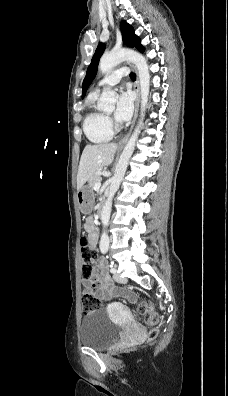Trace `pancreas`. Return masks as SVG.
<instances>
[{
    "mask_svg": "<svg viewBox=\"0 0 228 396\" xmlns=\"http://www.w3.org/2000/svg\"><path fill=\"white\" fill-rule=\"evenodd\" d=\"M101 180H102V177H101L100 174H98V173L94 174V175L88 180L89 187H91L92 189H94L95 184L98 183V182H101Z\"/></svg>",
    "mask_w": 228,
    "mask_h": 396,
    "instance_id": "pancreas-1",
    "label": "pancreas"
}]
</instances>
